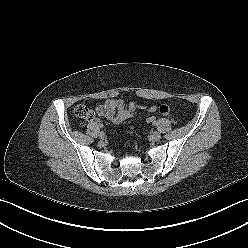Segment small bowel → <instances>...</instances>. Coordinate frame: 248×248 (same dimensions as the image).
I'll return each instance as SVG.
<instances>
[{"label":"small bowel","mask_w":248,"mask_h":248,"mask_svg":"<svg viewBox=\"0 0 248 248\" xmlns=\"http://www.w3.org/2000/svg\"><path fill=\"white\" fill-rule=\"evenodd\" d=\"M97 115L104 116L115 124H120L127 119L134 117L140 112L154 113L158 112L163 116H169L171 109L168 105H152V106H138L134 102L125 104L120 99H109L103 104L96 106Z\"/></svg>","instance_id":"small-bowel-1"}]
</instances>
